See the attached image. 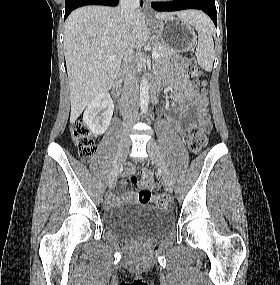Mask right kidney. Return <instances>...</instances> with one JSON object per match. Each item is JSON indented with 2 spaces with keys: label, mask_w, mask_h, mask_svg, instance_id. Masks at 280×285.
<instances>
[{
  "label": "right kidney",
  "mask_w": 280,
  "mask_h": 285,
  "mask_svg": "<svg viewBox=\"0 0 280 285\" xmlns=\"http://www.w3.org/2000/svg\"><path fill=\"white\" fill-rule=\"evenodd\" d=\"M114 110L113 101L108 93H100L93 98L83 115V121L95 135H102L108 128Z\"/></svg>",
  "instance_id": "1"
}]
</instances>
